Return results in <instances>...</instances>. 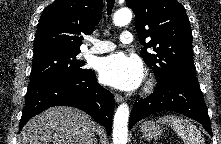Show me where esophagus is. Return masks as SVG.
Here are the masks:
<instances>
[{"mask_svg":"<svg viewBox=\"0 0 221 144\" xmlns=\"http://www.w3.org/2000/svg\"><path fill=\"white\" fill-rule=\"evenodd\" d=\"M114 98H115V101L118 102V103H119V102H122L123 99H124V98H123L121 95H119V94H115V95H114Z\"/></svg>","mask_w":221,"mask_h":144,"instance_id":"34e87169","label":"esophagus"}]
</instances>
